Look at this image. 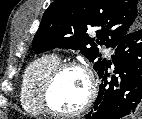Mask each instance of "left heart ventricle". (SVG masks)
<instances>
[{"instance_id": "1", "label": "left heart ventricle", "mask_w": 142, "mask_h": 119, "mask_svg": "<svg viewBox=\"0 0 142 119\" xmlns=\"http://www.w3.org/2000/svg\"><path fill=\"white\" fill-rule=\"evenodd\" d=\"M87 90V80L81 71L66 70L57 78L52 88L51 103L60 111H73L83 104Z\"/></svg>"}]
</instances>
